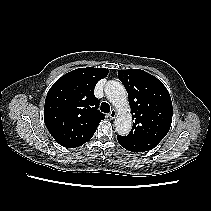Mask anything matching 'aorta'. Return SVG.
Masks as SVG:
<instances>
[{"label":"aorta","instance_id":"1","mask_svg":"<svg viewBox=\"0 0 211 211\" xmlns=\"http://www.w3.org/2000/svg\"><path fill=\"white\" fill-rule=\"evenodd\" d=\"M105 95L118 111L115 119L117 133L127 135L132 128V115L124 86L118 81H108L105 85Z\"/></svg>","mask_w":211,"mask_h":211}]
</instances>
